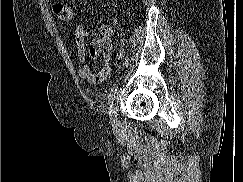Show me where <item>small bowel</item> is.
<instances>
[{"label": "small bowel", "instance_id": "small-bowel-1", "mask_svg": "<svg viewBox=\"0 0 243 182\" xmlns=\"http://www.w3.org/2000/svg\"><path fill=\"white\" fill-rule=\"evenodd\" d=\"M75 46L77 51L78 60L80 63L78 74L79 76L94 84L103 83L111 72V65L108 60H105L99 67H92L88 61V53L86 49V38L88 32L84 29L82 24H78L75 28ZM101 42L95 39L92 43L90 54L96 55L100 50Z\"/></svg>", "mask_w": 243, "mask_h": 182}]
</instances>
